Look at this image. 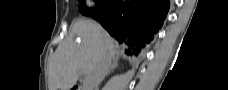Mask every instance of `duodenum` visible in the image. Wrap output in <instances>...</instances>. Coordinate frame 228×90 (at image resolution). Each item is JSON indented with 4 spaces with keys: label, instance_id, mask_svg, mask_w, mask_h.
<instances>
[{
    "label": "duodenum",
    "instance_id": "obj_1",
    "mask_svg": "<svg viewBox=\"0 0 228 90\" xmlns=\"http://www.w3.org/2000/svg\"><path fill=\"white\" fill-rule=\"evenodd\" d=\"M72 90H82L80 86H75Z\"/></svg>",
    "mask_w": 228,
    "mask_h": 90
}]
</instances>
